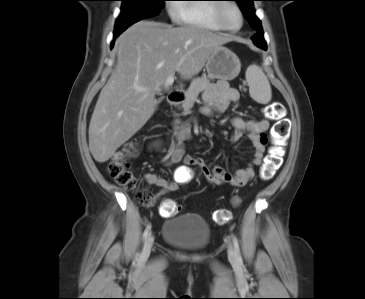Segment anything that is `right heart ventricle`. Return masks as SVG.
I'll list each match as a JSON object with an SVG mask.
<instances>
[{"instance_id": "e07e8e85", "label": "right heart ventricle", "mask_w": 365, "mask_h": 299, "mask_svg": "<svg viewBox=\"0 0 365 299\" xmlns=\"http://www.w3.org/2000/svg\"><path fill=\"white\" fill-rule=\"evenodd\" d=\"M186 1L203 3L180 4L176 13V20L180 24L196 26L215 31L221 30L215 20V11L218 6V3L216 2L219 0Z\"/></svg>"}]
</instances>
